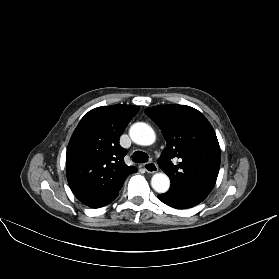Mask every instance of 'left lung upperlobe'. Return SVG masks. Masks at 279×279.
<instances>
[{
    "label": "left lung upper lobe",
    "mask_w": 279,
    "mask_h": 279,
    "mask_svg": "<svg viewBox=\"0 0 279 279\" xmlns=\"http://www.w3.org/2000/svg\"><path fill=\"white\" fill-rule=\"evenodd\" d=\"M144 112L159 126L167 142L158 164L169 176L170 188L205 199L220 168V147L211 124L186 105H159Z\"/></svg>",
    "instance_id": "5c2ea615"
}]
</instances>
